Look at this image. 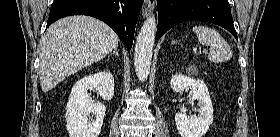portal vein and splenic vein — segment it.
<instances>
[{"label": "portal vein and splenic vein", "instance_id": "obj_1", "mask_svg": "<svg viewBox=\"0 0 280 137\" xmlns=\"http://www.w3.org/2000/svg\"><path fill=\"white\" fill-rule=\"evenodd\" d=\"M196 50H197L196 48L193 49L194 52H195Z\"/></svg>", "mask_w": 280, "mask_h": 137}]
</instances>
